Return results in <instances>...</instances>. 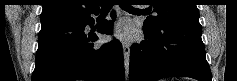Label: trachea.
I'll list each match as a JSON object with an SVG mask.
<instances>
[{
    "label": "trachea",
    "instance_id": "trachea-1",
    "mask_svg": "<svg viewBox=\"0 0 237 81\" xmlns=\"http://www.w3.org/2000/svg\"><path fill=\"white\" fill-rule=\"evenodd\" d=\"M119 5H120V7L123 8V9L136 10V11H143V10H140V9L133 8V7L131 6V4H128L127 2H124V1L120 2ZM111 6H112V3H111V2H107V1H105V2H103V3L101 4V7H102L103 10L110 9Z\"/></svg>",
    "mask_w": 237,
    "mask_h": 81
}]
</instances>
